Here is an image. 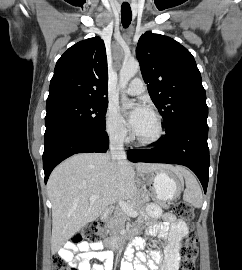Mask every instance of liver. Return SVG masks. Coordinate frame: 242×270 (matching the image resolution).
Instances as JSON below:
<instances>
[{"label": "liver", "mask_w": 242, "mask_h": 270, "mask_svg": "<svg viewBox=\"0 0 242 270\" xmlns=\"http://www.w3.org/2000/svg\"><path fill=\"white\" fill-rule=\"evenodd\" d=\"M135 168L142 179L159 169L175 170L170 165L149 163H137ZM140 184L129 162H114L109 154L80 153L58 165L47 183L52 203V251H58L110 204L138 196ZM92 195L99 198L89 200Z\"/></svg>", "instance_id": "obj_1"}]
</instances>
